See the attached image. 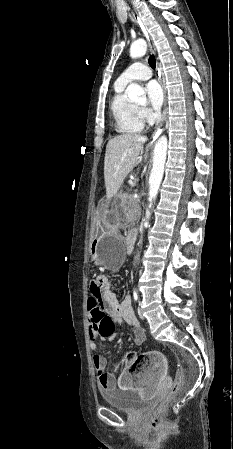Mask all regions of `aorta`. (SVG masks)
Masks as SVG:
<instances>
[{
  "label": "aorta",
  "mask_w": 233,
  "mask_h": 449,
  "mask_svg": "<svg viewBox=\"0 0 233 449\" xmlns=\"http://www.w3.org/2000/svg\"><path fill=\"white\" fill-rule=\"evenodd\" d=\"M147 51V44L143 39H139L132 43L130 47V56L132 58H138L145 55ZM126 92L128 94V97L132 100H136L138 98H144L145 97V91L144 89L136 84L132 83L130 84ZM167 137L165 135L161 136L154 147V155H153V167L151 170V174L149 177V206L146 210V217L144 226L146 227L148 225V220L150 218V209L153 205L154 200L156 199L162 178L164 173V165L166 161V155H167Z\"/></svg>",
  "instance_id": "obj_1"
}]
</instances>
